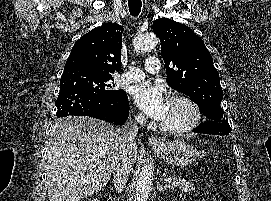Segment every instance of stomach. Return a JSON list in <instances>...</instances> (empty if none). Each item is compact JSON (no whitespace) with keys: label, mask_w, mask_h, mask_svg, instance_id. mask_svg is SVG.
I'll return each instance as SVG.
<instances>
[{"label":"stomach","mask_w":271,"mask_h":201,"mask_svg":"<svg viewBox=\"0 0 271 201\" xmlns=\"http://www.w3.org/2000/svg\"><path fill=\"white\" fill-rule=\"evenodd\" d=\"M152 149L166 163L178 167L193 164L200 157L196 148L181 140L164 142L161 146L153 145Z\"/></svg>","instance_id":"stomach-1"}]
</instances>
